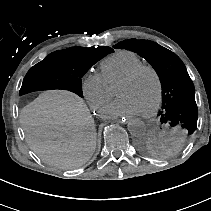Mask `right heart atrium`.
I'll use <instances>...</instances> for the list:
<instances>
[{
    "instance_id": "d8ad5b80",
    "label": "right heart atrium",
    "mask_w": 211,
    "mask_h": 211,
    "mask_svg": "<svg viewBox=\"0 0 211 211\" xmlns=\"http://www.w3.org/2000/svg\"><path fill=\"white\" fill-rule=\"evenodd\" d=\"M109 88L101 73H92L82 79V93L94 110H102L108 105L111 98Z\"/></svg>"
}]
</instances>
